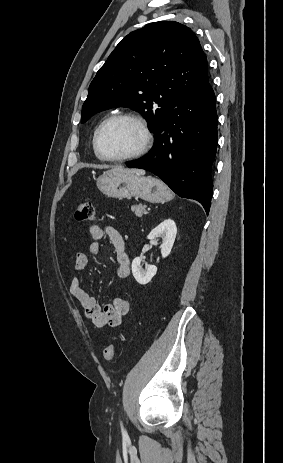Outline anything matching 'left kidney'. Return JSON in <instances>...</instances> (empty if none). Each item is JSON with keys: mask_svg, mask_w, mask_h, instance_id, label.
I'll return each instance as SVG.
<instances>
[{"mask_svg": "<svg viewBox=\"0 0 283 463\" xmlns=\"http://www.w3.org/2000/svg\"><path fill=\"white\" fill-rule=\"evenodd\" d=\"M177 234V227L173 220L166 219L161 222L156 228H154L147 236L150 240H156L162 238L160 245L161 255L166 258L173 247ZM142 259L140 257L134 258L132 261V273L135 280L142 285L147 284L157 273V267L154 265L146 264V270L142 268Z\"/></svg>", "mask_w": 283, "mask_h": 463, "instance_id": "obj_1", "label": "left kidney"}]
</instances>
